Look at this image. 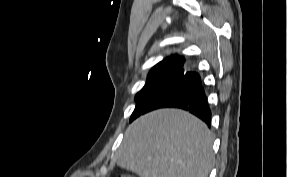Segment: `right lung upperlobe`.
Wrapping results in <instances>:
<instances>
[{
	"label": "right lung upper lobe",
	"mask_w": 287,
	"mask_h": 177,
	"mask_svg": "<svg viewBox=\"0 0 287 177\" xmlns=\"http://www.w3.org/2000/svg\"><path fill=\"white\" fill-rule=\"evenodd\" d=\"M165 61H180L181 62V67L183 66L184 64V59L183 57L179 56V55H171L167 58H165L163 61L159 62V63H162V62H165Z\"/></svg>",
	"instance_id": "obj_1"
}]
</instances>
